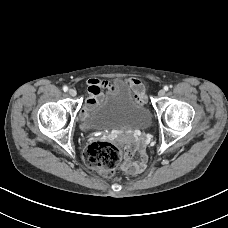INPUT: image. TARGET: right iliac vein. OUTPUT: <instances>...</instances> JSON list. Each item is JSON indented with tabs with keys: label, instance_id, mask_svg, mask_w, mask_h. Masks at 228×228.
<instances>
[{
	"label": "right iliac vein",
	"instance_id": "63e3f726",
	"mask_svg": "<svg viewBox=\"0 0 228 228\" xmlns=\"http://www.w3.org/2000/svg\"><path fill=\"white\" fill-rule=\"evenodd\" d=\"M68 93H69V95L72 96V97L76 96V91H75L74 89H70V90L68 91Z\"/></svg>",
	"mask_w": 228,
	"mask_h": 228
}]
</instances>
